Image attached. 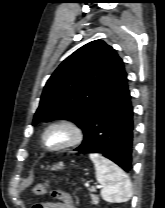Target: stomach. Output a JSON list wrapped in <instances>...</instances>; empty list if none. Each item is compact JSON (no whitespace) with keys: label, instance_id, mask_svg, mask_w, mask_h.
Here are the masks:
<instances>
[{"label":"stomach","instance_id":"obj_1","mask_svg":"<svg viewBox=\"0 0 165 208\" xmlns=\"http://www.w3.org/2000/svg\"><path fill=\"white\" fill-rule=\"evenodd\" d=\"M63 168V163H59L57 166H55L53 168V170H56V169H62Z\"/></svg>","mask_w":165,"mask_h":208}]
</instances>
